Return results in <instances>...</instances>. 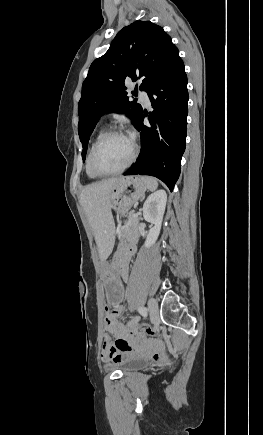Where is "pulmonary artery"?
<instances>
[{
    "instance_id": "obj_1",
    "label": "pulmonary artery",
    "mask_w": 263,
    "mask_h": 435,
    "mask_svg": "<svg viewBox=\"0 0 263 435\" xmlns=\"http://www.w3.org/2000/svg\"><path fill=\"white\" fill-rule=\"evenodd\" d=\"M140 100L145 106L148 107L150 105V99H149L147 92H145V91L141 92Z\"/></svg>"
}]
</instances>
